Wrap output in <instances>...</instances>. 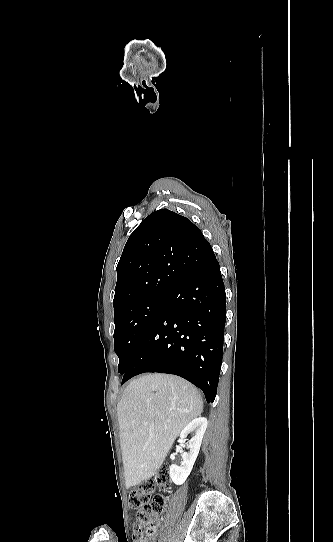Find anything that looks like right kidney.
Here are the masks:
<instances>
[{
    "mask_svg": "<svg viewBox=\"0 0 333 542\" xmlns=\"http://www.w3.org/2000/svg\"><path fill=\"white\" fill-rule=\"evenodd\" d=\"M207 424L206 418H195V420H192V422L182 430L179 444L180 446H187L189 452H183V462H181V466H176V464L170 466V478L176 486H182L185 480H187L199 454ZM191 432H193V440L190 444H185L186 440H184V438H187L188 434H191Z\"/></svg>",
    "mask_w": 333,
    "mask_h": 542,
    "instance_id": "ca27d5eb",
    "label": "right kidney"
}]
</instances>
